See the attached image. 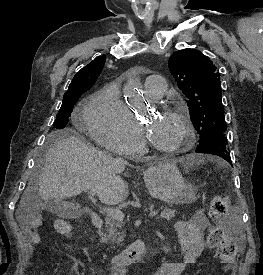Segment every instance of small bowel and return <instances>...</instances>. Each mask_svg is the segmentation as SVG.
Returning <instances> with one entry per match:
<instances>
[{
	"label": "small bowel",
	"instance_id": "1",
	"mask_svg": "<svg viewBox=\"0 0 263 275\" xmlns=\"http://www.w3.org/2000/svg\"><path fill=\"white\" fill-rule=\"evenodd\" d=\"M27 227V233L30 235L32 244L39 242L38 235ZM214 226L210 223L203 210H199L187 221H178L175 224V231L180 242L181 260L177 262L164 263L160 265L153 275H181L187 264L194 263L202 252L209 248L210 245L205 239V234L210 233ZM168 250V249H167ZM88 255V251L84 250ZM124 272L112 269L110 275H125Z\"/></svg>",
	"mask_w": 263,
	"mask_h": 275
}]
</instances>
